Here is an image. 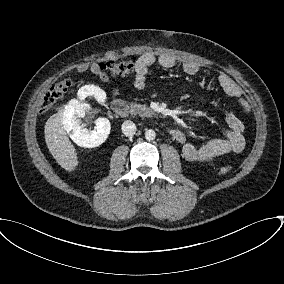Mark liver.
I'll use <instances>...</instances> for the list:
<instances>
[{
	"label": "liver",
	"mask_w": 284,
	"mask_h": 284,
	"mask_svg": "<svg viewBox=\"0 0 284 284\" xmlns=\"http://www.w3.org/2000/svg\"><path fill=\"white\" fill-rule=\"evenodd\" d=\"M44 134L46 145L57 163L66 171L75 170L79 162L76 149L64 128L62 111L47 120Z\"/></svg>",
	"instance_id": "6515ba94"
}]
</instances>
